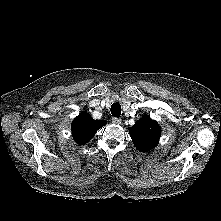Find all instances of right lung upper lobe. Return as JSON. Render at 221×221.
Segmentation results:
<instances>
[{"label":"right lung upper lobe","instance_id":"right-lung-upper-lobe-1","mask_svg":"<svg viewBox=\"0 0 221 221\" xmlns=\"http://www.w3.org/2000/svg\"><path fill=\"white\" fill-rule=\"evenodd\" d=\"M105 124L106 121L94 120L88 113L82 112L72 122V135L79 145H83Z\"/></svg>","mask_w":221,"mask_h":221}]
</instances>
